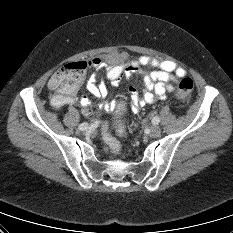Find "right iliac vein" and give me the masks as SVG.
<instances>
[{"label":"right iliac vein","instance_id":"obj_1","mask_svg":"<svg viewBox=\"0 0 233 233\" xmlns=\"http://www.w3.org/2000/svg\"><path fill=\"white\" fill-rule=\"evenodd\" d=\"M89 133H90V129L88 127H85L84 129L81 130L82 136H87Z\"/></svg>","mask_w":233,"mask_h":233}]
</instances>
